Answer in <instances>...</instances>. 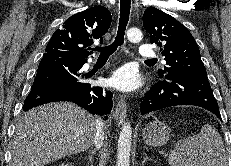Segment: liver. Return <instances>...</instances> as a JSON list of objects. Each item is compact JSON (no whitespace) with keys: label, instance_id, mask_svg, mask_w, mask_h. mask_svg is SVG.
Here are the masks:
<instances>
[{"label":"liver","instance_id":"liver-1","mask_svg":"<svg viewBox=\"0 0 231 166\" xmlns=\"http://www.w3.org/2000/svg\"><path fill=\"white\" fill-rule=\"evenodd\" d=\"M97 120L72 103H51L30 110L17 124L10 166H44L90 148Z\"/></svg>","mask_w":231,"mask_h":166}]
</instances>
